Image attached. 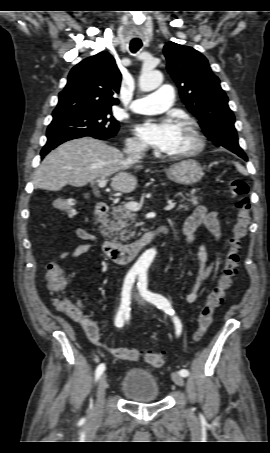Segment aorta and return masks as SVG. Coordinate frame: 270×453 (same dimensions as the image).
<instances>
[{
    "label": "aorta",
    "mask_w": 270,
    "mask_h": 453,
    "mask_svg": "<svg viewBox=\"0 0 270 453\" xmlns=\"http://www.w3.org/2000/svg\"><path fill=\"white\" fill-rule=\"evenodd\" d=\"M163 75L160 71L143 69L139 78V87L142 91L148 92L156 89L161 85ZM156 255L155 249L145 251L135 263V268L139 270H146L152 263Z\"/></svg>",
    "instance_id": "762f6f07"
}]
</instances>
